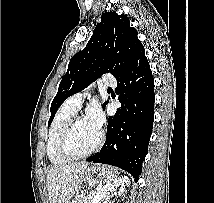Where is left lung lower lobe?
Returning <instances> with one entry per match:
<instances>
[{
  "instance_id": "obj_1",
  "label": "left lung lower lobe",
  "mask_w": 214,
  "mask_h": 203,
  "mask_svg": "<svg viewBox=\"0 0 214 203\" xmlns=\"http://www.w3.org/2000/svg\"><path fill=\"white\" fill-rule=\"evenodd\" d=\"M116 93L121 108L108 118L106 141L101 150L87 161L117 166L138 181L154 121V78L144 49L117 78Z\"/></svg>"
}]
</instances>
